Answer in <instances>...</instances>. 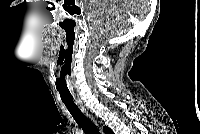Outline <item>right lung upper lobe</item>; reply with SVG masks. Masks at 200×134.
<instances>
[{"mask_svg":"<svg viewBox=\"0 0 200 134\" xmlns=\"http://www.w3.org/2000/svg\"><path fill=\"white\" fill-rule=\"evenodd\" d=\"M104 131H105V133H107V134H109V133L112 132L108 127H104Z\"/></svg>","mask_w":200,"mask_h":134,"instance_id":"obj_1","label":"right lung upper lobe"}]
</instances>
